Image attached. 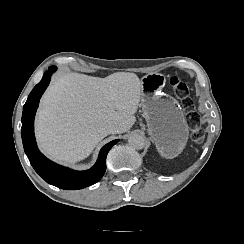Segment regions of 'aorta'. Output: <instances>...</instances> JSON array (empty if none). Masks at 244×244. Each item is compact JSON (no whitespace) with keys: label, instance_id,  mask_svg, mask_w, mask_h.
I'll list each match as a JSON object with an SVG mask.
<instances>
[{"label":"aorta","instance_id":"obj_1","mask_svg":"<svg viewBox=\"0 0 244 244\" xmlns=\"http://www.w3.org/2000/svg\"><path fill=\"white\" fill-rule=\"evenodd\" d=\"M128 143L132 148L135 149H143L144 145H145V140L144 138L139 135V134H132L129 138H128Z\"/></svg>","mask_w":244,"mask_h":244}]
</instances>
